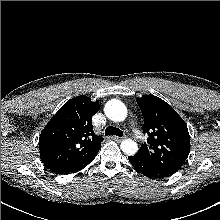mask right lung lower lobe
Segmentation results:
<instances>
[{"instance_id": "1", "label": "right lung lower lobe", "mask_w": 220, "mask_h": 220, "mask_svg": "<svg viewBox=\"0 0 220 220\" xmlns=\"http://www.w3.org/2000/svg\"><path fill=\"white\" fill-rule=\"evenodd\" d=\"M98 153L95 152L91 157L83 160V161H80V162H77V163H74L72 165H69L67 167H64L58 171H56L55 173L57 174H70V173H75L81 169H83L87 164H89L96 156V154Z\"/></svg>"}]
</instances>
